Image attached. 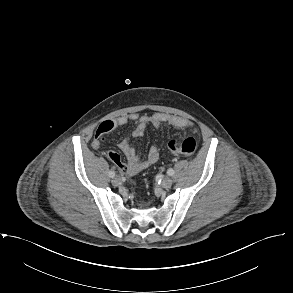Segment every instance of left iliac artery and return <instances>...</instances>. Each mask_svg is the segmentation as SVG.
I'll list each match as a JSON object with an SVG mask.
<instances>
[{"mask_svg":"<svg viewBox=\"0 0 293 293\" xmlns=\"http://www.w3.org/2000/svg\"><path fill=\"white\" fill-rule=\"evenodd\" d=\"M167 174L169 176H172L174 174V170L173 169H168Z\"/></svg>","mask_w":293,"mask_h":293,"instance_id":"44dca946","label":"left iliac artery"}]
</instances>
